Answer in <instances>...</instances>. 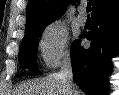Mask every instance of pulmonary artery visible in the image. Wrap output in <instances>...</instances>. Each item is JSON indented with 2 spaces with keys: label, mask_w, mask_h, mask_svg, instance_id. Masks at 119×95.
<instances>
[{
  "label": "pulmonary artery",
  "mask_w": 119,
  "mask_h": 95,
  "mask_svg": "<svg viewBox=\"0 0 119 95\" xmlns=\"http://www.w3.org/2000/svg\"><path fill=\"white\" fill-rule=\"evenodd\" d=\"M77 19L81 25H84L86 23V16H85L83 8L80 9Z\"/></svg>",
  "instance_id": "1"
}]
</instances>
